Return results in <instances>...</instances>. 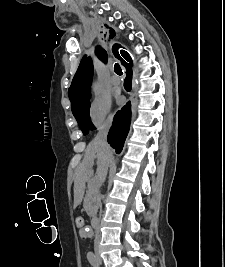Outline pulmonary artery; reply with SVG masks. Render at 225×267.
<instances>
[{
  "mask_svg": "<svg viewBox=\"0 0 225 267\" xmlns=\"http://www.w3.org/2000/svg\"><path fill=\"white\" fill-rule=\"evenodd\" d=\"M111 81L115 85H119L121 83L120 77L115 74L112 76Z\"/></svg>",
  "mask_w": 225,
  "mask_h": 267,
  "instance_id": "obj_1",
  "label": "pulmonary artery"
}]
</instances>
